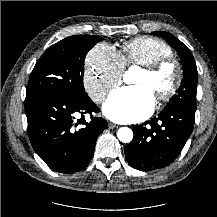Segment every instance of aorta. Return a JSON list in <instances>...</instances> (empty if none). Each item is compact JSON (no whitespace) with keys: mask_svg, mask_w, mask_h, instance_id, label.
<instances>
[{"mask_svg":"<svg viewBox=\"0 0 217 217\" xmlns=\"http://www.w3.org/2000/svg\"><path fill=\"white\" fill-rule=\"evenodd\" d=\"M132 74V69L127 71L124 75V81L130 82V77ZM118 139L123 143H129L133 139V131L128 127H122L117 131Z\"/></svg>","mask_w":217,"mask_h":217,"instance_id":"obj_1","label":"aorta"}]
</instances>
